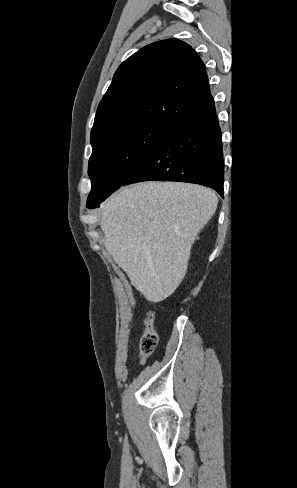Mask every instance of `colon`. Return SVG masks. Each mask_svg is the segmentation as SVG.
<instances>
[{
  "instance_id": "colon-1",
  "label": "colon",
  "mask_w": 297,
  "mask_h": 488,
  "mask_svg": "<svg viewBox=\"0 0 297 488\" xmlns=\"http://www.w3.org/2000/svg\"><path fill=\"white\" fill-rule=\"evenodd\" d=\"M155 315L148 312L144 316V330L139 341L140 356L142 361L148 358L156 349L158 335L154 329Z\"/></svg>"
}]
</instances>
